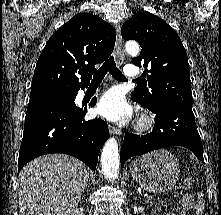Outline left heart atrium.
<instances>
[{
  "label": "left heart atrium",
  "instance_id": "1",
  "mask_svg": "<svg viewBox=\"0 0 221 215\" xmlns=\"http://www.w3.org/2000/svg\"><path fill=\"white\" fill-rule=\"evenodd\" d=\"M95 112L110 121H124L131 116L132 110L124 94L119 89L113 88L102 95Z\"/></svg>",
  "mask_w": 221,
  "mask_h": 215
}]
</instances>
